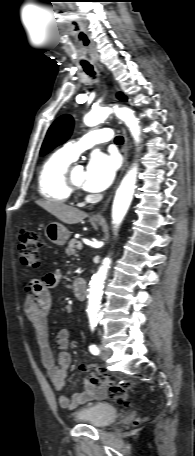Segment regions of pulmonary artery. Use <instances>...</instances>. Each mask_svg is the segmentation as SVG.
<instances>
[{
    "instance_id": "1",
    "label": "pulmonary artery",
    "mask_w": 195,
    "mask_h": 456,
    "mask_svg": "<svg viewBox=\"0 0 195 456\" xmlns=\"http://www.w3.org/2000/svg\"><path fill=\"white\" fill-rule=\"evenodd\" d=\"M112 138L110 129H100L88 132L78 141L66 143L61 149L72 160H76L81 152L93 147L95 144L108 142Z\"/></svg>"
}]
</instances>
